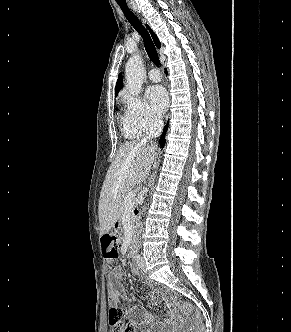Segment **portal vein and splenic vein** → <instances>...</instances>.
I'll return each instance as SVG.
<instances>
[{"label":"portal vein and splenic vein","instance_id":"1","mask_svg":"<svg viewBox=\"0 0 291 332\" xmlns=\"http://www.w3.org/2000/svg\"><path fill=\"white\" fill-rule=\"evenodd\" d=\"M135 196L136 194L134 192H130L126 195V198H125V204L126 205H132L133 204V201L135 199Z\"/></svg>","mask_w":291,"mask_h":332}]
</instances>
